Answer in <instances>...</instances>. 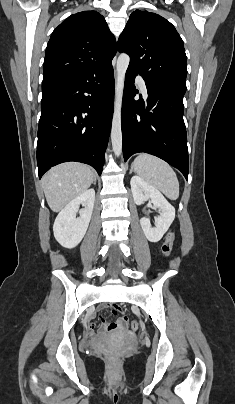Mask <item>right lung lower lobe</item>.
I'll use <instances>...</instances> for the list:
<instances>
[{"label":"right lung lower lobe","instance_id":"obj_1","mask_svg":"<svg viewBox=\"0 0 235 404\" xmlns=\"http://www.w3.org/2000/svg\"><path fill=\"white\" fill-rule=\"evenodd\" d=\"M112 65L42 83L37 164L42 175L62 162L91 165L101 175L111 130Z\"/></svg>","mask_w":235,"mask_h":404}]
</instances>
